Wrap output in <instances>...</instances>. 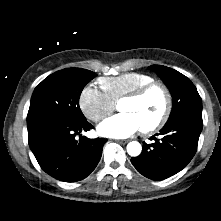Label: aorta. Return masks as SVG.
<instances>
[{
  "instance_id": "762f6f07",
  "label": "aorta",
  "mask_w": 221,
  "mask_h": 221,
  "mask_svg": "<svg viewBox=\"0 0 221 221\" xmlns=\"http://www.w3.org/2000/svg\"><path fill=\"white\" fill-rule=\"evenodd\" d=\"M141 151H142V146L139 142L132 141L127 144V152L130 156L136 157L140 155Z\"/></svg>"
}]
</instances>
